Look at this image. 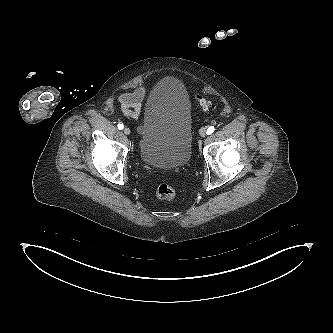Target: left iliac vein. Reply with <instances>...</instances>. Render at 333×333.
Wrapping results in <instances>:
<instances>
[{"instance_id":"1","label":"left iliac vein","mask_w":333,"mask_h":333,"mask_svg":"<svg viewBox=\"0 0 333 333\" xmlns=\"http://www.w3.org/2000/svg\"><path fill=\"white\" fill-rule=\"evenodd\" d=\"M206 128L205 127H202L200 130H199V134L201 137H205L206 136Z\"/></svg>"}]
</instances>
